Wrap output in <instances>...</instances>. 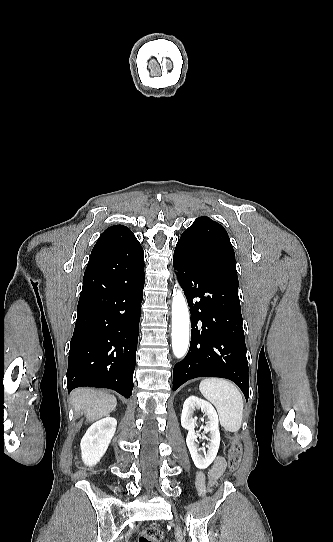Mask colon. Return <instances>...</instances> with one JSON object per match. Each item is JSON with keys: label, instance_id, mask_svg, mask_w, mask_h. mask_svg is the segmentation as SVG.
Listing matches in <instances>:
<instances>
[{"label": "colon", "instance_id": "5ec220e1", "mask_svg": "<svg viewBox=\"0 0 333 542\" xmlns=\"http://www.w3.org/2000/svg\"><path fill=\"white\" fill-rule=\"evenodd\" d=\"M227 464L230 470L234 471L240 464L242 456V441L239 437L230 440L226 447ZM163 539L162 531L156 526H150L144 529L139 535L138 542H161Z\"/></svg>", "mask_w": 333, "mask_h": 542}]
</instances>
